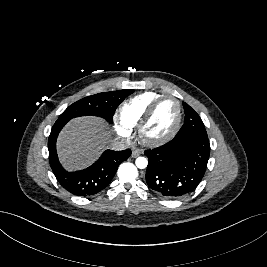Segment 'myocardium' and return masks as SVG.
<instances>
[{"instance_id":"1","label":"myocardium","mask_w":267,"mask_h":267,"mask_svg":"<svg viewBox=\"0 0 267 267\" xmlns=\"http://www.w3.org/2000/svg\"><path fill=\"white\" fill-rule=\"evenodd\" d=\"M165 99H172L175 101V103L177 104V120L176 123L174 125V127L172 128V130L166 134L163 137L160 138H149L145 135V129L147 124L149 123L150 119L152 118L157 106ZM182 104L181 101L173 96V95H161L158 98H156L155 100H153L151 102V104L148 106V108L146 109V111L144 112L143 116L141 117L138 125H137V132H138V136L139 139L146 145L149 146H158V145H162L168 141H170L179 131L181 123H182Z\"/></svg>"}]
</instances>
